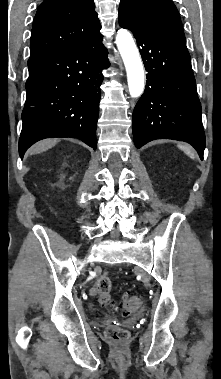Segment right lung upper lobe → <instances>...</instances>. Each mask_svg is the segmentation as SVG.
<instances>
[{
    "label": "right lung upper lobe",
    "mask_w": 221,
    "mask_h": 379,
    "mask_svg": "<svg viewBox=\"0 0 221 379\" xmlns=\"http://www.w3.org/2000/svg\"><path fill=\"white\" fill-rule=\"evenodd\" d=\"M100 28L93 0H44L33 21L28 63L75 46Z\"/></svg>",
    "instance_id": "right-lung-upper-lobe-1"
}]
</instances>
